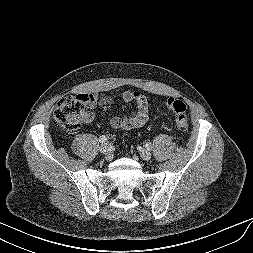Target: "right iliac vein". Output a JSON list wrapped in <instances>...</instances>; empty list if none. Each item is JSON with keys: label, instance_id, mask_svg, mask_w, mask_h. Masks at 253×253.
I'll use <instances>...</instances> for the list:
<instances>
[{"label": "right iliac vein", "instance_id": "1", "mask_svg": "<svg viewBox=\"0 0 253 253\" xmlns=\"http://www.w3.org/2000/svg\"><path fill=\"white\" fill-rule=\"evenodd\" d=\"M110 145L108 143H104L100 145V151L106 155V157L110 156Z\"/></svg>", "mask_w": 253, "mask_h": 253}]
</instances>
